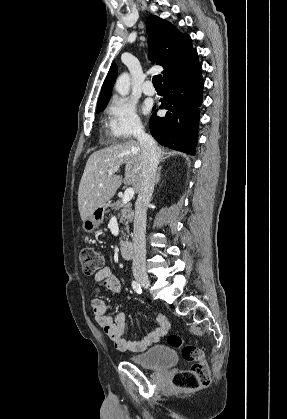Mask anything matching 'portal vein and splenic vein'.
<instances>
[{
  "instance_id": "portal-vein-and-splenic-vein-1",
  "label": "portal vein and splenic vein",
  "mask_w": 287,
  "mask_h": 419,
  "mask_svg": "<svg viewBox=\"0 0 287 419\" xmlns=\"http://www.w3.org/2000/svg\"><path fill=\"white\" fill-rule=\"evenodd\" d=\"M117 171H119V168H115V169L109 170L108 171V174L109 175H113ZM134 193H135V191H134L133 188H131V187L127 188L125 190V192H124L123 197H122V202L123 203H128L133 198Z\"/></svg>"
}]
</instances>
